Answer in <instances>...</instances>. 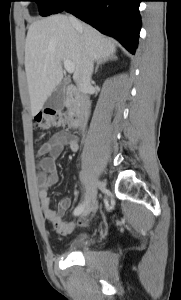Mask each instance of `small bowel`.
Returning <instances> with one entry per match:
<instances>
[{
	"mask_svg": "<svg viewBox=\"0 0 181 300\" xmlns=\"http://www.w3.org/2000/svg\"><path fill=\"white\" fill-rule=\"evenodd\" d=\"M65 146H69L72 152H77L79 149L78 143L73 137L68 136L64 132L52 134L49 140L38 150V155L41 157L39 161L40 171L36 175V183L39 186L38 198L41 203L43 216L60 235L71 233L75 227V223L63 220V215L70 208V200H61L57 208L54 209L50 204L48 195L49 188L56 185L59 181V173L55 161ZM84 216L78 221L79 225L88 223L89 218L87 215Z\"/></svg>",
	"mask_w": 181,
	"mask_h": 300,
	"instance_id": "small-bowel-1",
	"label": "small bowel"
}]
</instances>
